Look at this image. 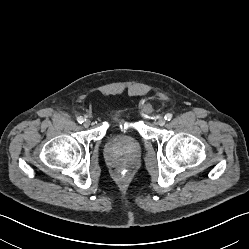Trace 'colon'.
Segmentation results:
<instances>
[{
    "mask_svg": "<svg viewBox=\"0 0 249 249\" xmlns=\"http://www.w3.org/2000/svg\"><path fill=\"white\" fill-rule=\"evenodd\" d=\"M120 174H121V176H126L127 175V171L125 169H122L120 171Z\"/></svg>",
    "mask_w": 249,
    "mask_h": 249,
    "instance_id": "1",
    "label": "colon"
}]
</instances>
